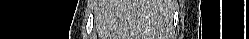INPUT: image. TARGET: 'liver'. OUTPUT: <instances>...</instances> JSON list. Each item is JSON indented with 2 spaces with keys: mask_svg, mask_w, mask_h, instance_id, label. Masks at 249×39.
<instances>
[{
  "mask_svg": "<svg viewBox=\"0 0 249 39\" xmlns=\"http://www.w3.org/2000/svg\"><path fill=\"white\" fill-rule=\"evenodd\" d=\"M171 0H104L98 7L101 39H165Z\"/></svg>",
  "mask_w": 249,
  "mask_h": 39,
  "instance_id": "obj_1",
  "label": "liver"
}]
</instances>
